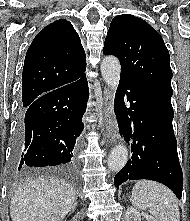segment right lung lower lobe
I'll return each instance as SVG.
<instances>
[{
	"label": "right lung lower lobe",
	"instance_id": "1",
	"mask_svg": "<svg viewBox=\"0 0 190 221\" xmlns=\"http://www.w3.org/2000/svg\"><path fill=\"white\" fill-rule=\"evenodd\" d=\"M88 96L84 75L21 107L13 168L28 170L75 162Z\"/></svg>",
	"mask_w": 190,
	"mask_h": 221
}]
</instances>
